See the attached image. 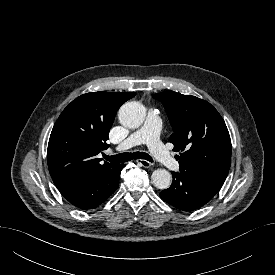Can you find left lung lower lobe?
Segmentation results:
<instances>
[{"label":"left lung lower lobe","instance_id":"left-lung-lower-lobe-1","mask_svg":"<svg viewBox=\"0 0 275 275\" xmlns=\"http://www.w3.org/2000/svg\"><path fill=\"white\" fill-rule=\"evenodd\" d=\"M173 182L160 196L170 205L182 210H195L208 203L222 184L180 171L172 172Z\"/></svg>","mask_w":275,"mask_h":275}]
</instances>
